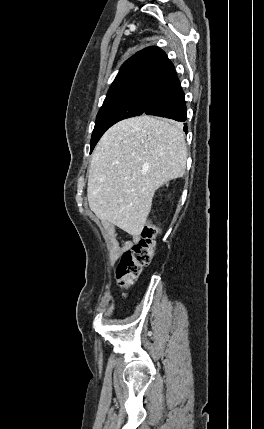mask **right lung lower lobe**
I'll return each instance as SVG.
<instances>
[{
	"label": "right lung lower lobe",
	"mask_w": 264,
	"mask_h": 429,
	"mask_svg": "<svg viewBox=\"0 0 264 429\" xmlns=\"http://www.w3.org/2000/svg\"><path fill=\"white\" fill-rule=\"evenodd\" d=\"M186 111L184 92L175 74L161 87L144 114L185 122L187 119ZM184 125V131L187 132L186 123Z\"/></svg>",
	"instance_id": "right-lung-lower-lobe-1"
}]
</instances>
